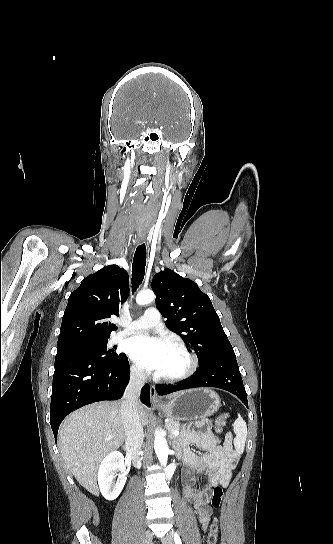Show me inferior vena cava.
Segmentation results:
<instances>
[{
    "mask_svg": "<svg viewBox=\"0 0 333 544\" xmlns=\"http://www.w3.org/2000/svg\"><path fill=\"white\" fill-rule=\"evenodd\" d=\"M145 373L141 368L133 367L130 381L126 387L121 402V415L125 428V449L127 454L138 460L144 440L143 425L141 423L138 407V397L142 386L145 384Z\"/></svg>",
    "mask_w": 333,
    "mask_h": 544,
    "instance_id": "1",
    "label": "inferior vena cava"
}]
</instances>
